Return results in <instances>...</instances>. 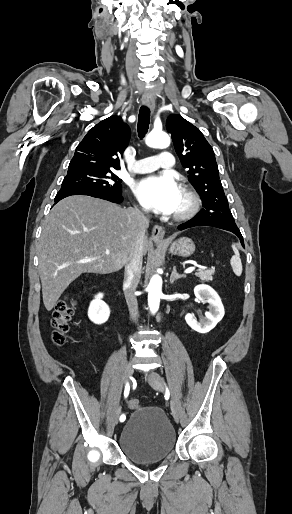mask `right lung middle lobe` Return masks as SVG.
Segmentation results:
<instances>
[{"label": "right lung middle lobe", "mask_w": 292, "mask_h": 514, "mask_svg": "<svg viewBox=\"0 0 292 514\" xmlns=\"http://www.w3.org/2000/svg\"><path fill=\"white\" fill-rule=\"evenodd\" d=\"M122 180L114 172H68L60 191L84 189L103 192H119Z\"/></svg>", "instance_id": "obj_1"}]
</instances>
